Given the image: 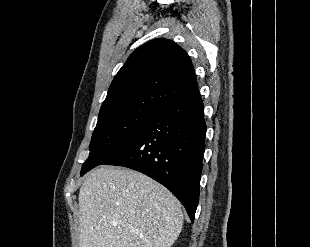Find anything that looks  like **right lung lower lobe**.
Returning <instances> with one entry per match:
<instances>
[{
	"instance_id": "1",
	"label": "right lung lower lobe",
	"mask_w": 310,
	"mask_h": 247,
	"mask_svg": "<svg viewBox=\"0 0 310 247\" xmlns=\"http://www.w3.org/2000/svg\"><path fill=\"white\" fill-rule=\"evenodd\" d=\"M206 123L199 91L153 115L102 165L146 174L168 188L194 222L199 201Z\"/></svg>"
}]
</instances>
